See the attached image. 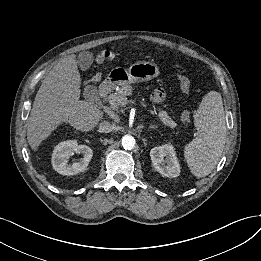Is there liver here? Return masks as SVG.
I'll list each match as a JSON object with an SVG mask.
<instances>
[{
    "label": "liver",
    "mask_w": 261,
    "mask_h": 261,
    "mask_svg": "<svg viewBox=\"0 0 261 261\" xmlns=\"http://www.w3.org/2000/svg\"><path fill=\"white\" fill-rule=\"evenodd\" d=\"M81 77L74 54L64 57L45 76L36 94L27 124V141L36 151L62 123L77 130H93L103 112L89 101L79 100Z\"/></svg>",
    "instance_id": "obj_1"
}]
</instances>
